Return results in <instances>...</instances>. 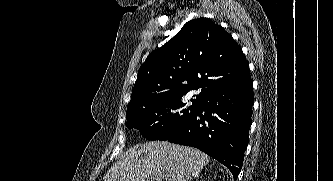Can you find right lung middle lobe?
<instances>
[{
	"mask_svg": "<svg viewBox=\"0 0 333 181\" xmlns=\"http://www.w3.org/2000/svg\"><path fill=\"white\" fill-rule=\"evenodd\" d=\"M185 107L182 98L146 103L126 113V126L136 128L148 140H167L174 136L197 112L200 100Z\"/></svg>",
	"mask_w": 333,
	"mask_h": 181,
	"instance_id": "obj_1",
	"label": "right lung middle lobe"
}]
</instances>
